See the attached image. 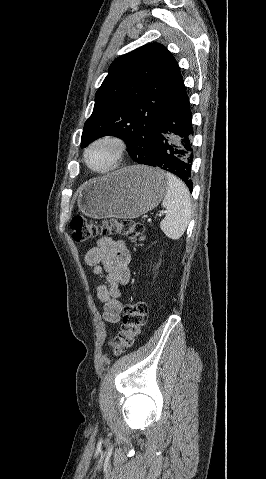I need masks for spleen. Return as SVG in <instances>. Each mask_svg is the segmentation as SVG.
Segmentation results:
<instances>
[{
    "label": "spleen",
    "instance_id": "obj_1",
    "mask_svg": "<svg viewBox=\"0 0 266 479\" xmlns=\"http://www.w3.org/2000/svg\"><path fill=\"white\" fill-rule=\"evenodd\" d=\"M168 187L162 206L166 216L160 222L163 233L172 240L182 237L191 220L192 206L186 185L171 173H166Z\"/></svg>",
    "mask_w": 266,
    "mask_h": 479
}]
</instances>
